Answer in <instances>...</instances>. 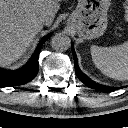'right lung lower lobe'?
<instances>
[{
  "mask_svg": "<svg viewBox=\"0 0 128 128\" xmlns=\"http://www.w3.org/2000/svg\"><path fill=\"white\" fill-rule=\"evenodd\" d=\"M49 37H50V34L44 37L40 41L35 53L33 54L32 58L29 60V62L25 66L14 71L0 70V86L23 85L28 83L32 79H34L39 69L38 58H39L40 49L43 43Z\"/></svg>",
  "mask_w": 128,
  "mask_h": 128,
  "instance_id": "obj_1",
  "label": "right lung lower lobe"
}]
</instances>
